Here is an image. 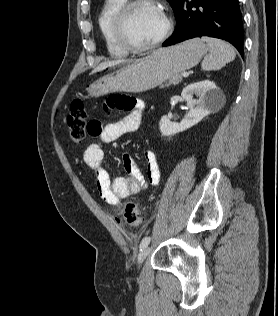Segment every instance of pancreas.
Returning <instances> with one entry per match:
<instances>
[{
    "instance_id": "cf45deb5",
    "label": "pancreas",
    "mask_w": 278,
    "mask_h": 316,
    "mask_svg": "<svg viewBox=\"0 0 278 316\" xmlns=\"http://www.w3.org/2000/svg\"><path fill=\"white\" fill-rule=\"evenodd\" d=\"M180 82H182V74L181 73L171 76L168 79V81L165 83V85H161V87L163 88V87H169L170 85H177Z\"/></svg>"
}]
</instances>
